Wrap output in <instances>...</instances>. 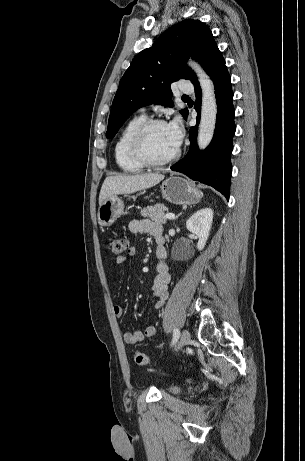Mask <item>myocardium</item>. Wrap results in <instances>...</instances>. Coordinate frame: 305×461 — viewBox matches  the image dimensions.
Returning a JSON list of instances; mask_svg holds the SVG:
<instances>
[{
	"mask_svg": "<svg viewBox=\"0 0 305 461\" xmlns=\"http://www.w3.org/2000/svg\"><path fill=\"white\" fill-rule=\"evenodd\" d=\"M157 125H167L162 119H147L143 121L133 133L129 143V153L131 157L144 167H161L177 160L181 154L180 148L169 157L162 160H153L145 152V139L151 128Z\"/></svg>",
	"mask_w": 305,
	"mask_h": 461,
	"instance_id": "f54148a6",
	"label": "myocardium"
}]
</instances>
